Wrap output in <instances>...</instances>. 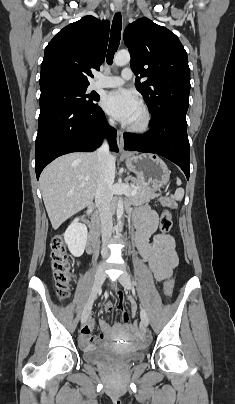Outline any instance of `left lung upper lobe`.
Returning <instances> with one entry per match:
<instances>
[{"instance_id": "left-lung-upper-lobe-1", "label": "left lung upper lobe", "mask_w": 235, "mask_h": 404, "mask_svg": "<svg viewBox=\"0 0 235 404\" xmlns=\"http://www.w3.org/2000/svg\"><path fill=\"white\" fill-rule=\"evenodd\" d=\"M124 43L131 54L136 88L153 116L167 111L186 113L189 106L190 69L178 37L144 17L129 24ZM148 79L142 83L140 78Z\"/></svg>"}]
</instances>
